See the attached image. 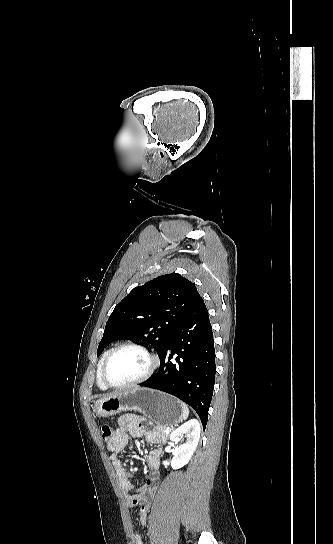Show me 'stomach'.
<instances>
[{
	"mask_svg": "<svg viewBox=\"0 0 333 544\" xmlns=\"http://www.w3.org/2000/svg\"><path fill=\"white\" fill-rule=\"evenodd\" d=\"M94 411L100 417L138 411L147 418H151L157 426L165 428L177 423L182 415L179 400L148 388H135L97 400Z\"/></svg>",
	"mask_w": 333,
	"mask_h": 544,
	"instance_id": "obj_1",
	"label": "stomach"
}]
</instances>
